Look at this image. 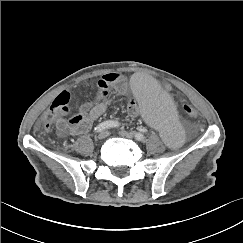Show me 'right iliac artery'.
<instances>
[{
    "label": "right iliac artery",
    "mask_w": 243,
    "mask_h": 243,
    "mask_svg": "<svg viewBox=\"0 0 243 243\" xmlns=\"http://www.w3.org/2000/svg\"><path fill=\"white\" fill-rule=\"evenodd\" d=\"M119 126H120V123L118 121L108 120V121H104V122L100 123L99 125H97L95 127L94 131L96 133H99L105 129L116 128Z\"/></svg>",
    "instance_id": "obj_1"
}]
</instances>
